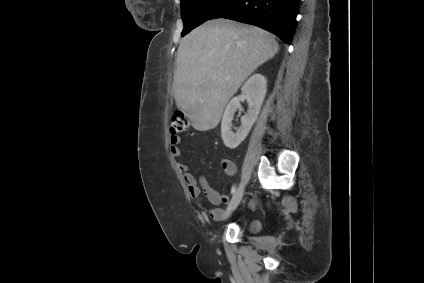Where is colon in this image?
<instances>
[{
	"mask_svg": "<svg viewBox=\"0 0 424 283\" xmlns=\"http://www.w3.org/2000/svg\"><path fill=\"white\" fill-rule=\"evenodd\" d=\"M171 132L178 134L184 132L187 128V120L182 111H175L171 115Z\"/></svg>",
	"mask_w": 424,
	"mask_h": 283,
	"instance_id": "1",
	"label": "colon"
}]
</instances>
